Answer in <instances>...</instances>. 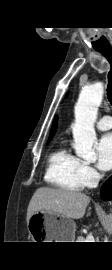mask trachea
Returning <instances> with one entry per match:
<instances>
[{
  "mask_svg": "<svg viewBox=\"0 0 112 270\" xmlns=\"http://www.w3.org/2000/svg\"><path fill=\"white\" fill-rule=\"evenodd\" d=\"M96 51L102 53L110 63L111 69L108 73L107 98L110 104L112 105V48L111 47L101 48L96 49Z\"/></svg>",
  "mask_w": 112,
  "mask_h": 270,
  "instance_id": "3493384b",
  "label": "trachea"
}]
</instances>
